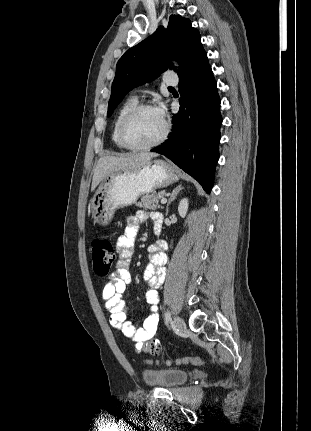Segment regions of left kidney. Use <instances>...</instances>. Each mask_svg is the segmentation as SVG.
<instances>
[{
	"mask_svg": "<svg viewBox=\"0 0 311 431\" xmlns=\"http://www.w3.org/2000/svg\"><path fill=\"white\" fill-rule=\"evenodd\" d=\"M188 200L187 198H183V200H180V204L178 206V212H179V216L181 217H185L187 212H188Z\"/></svg>",
	"mask_w": 311,
	"mask_h": 431,
	"instance_id": "5707ae66",
	"label": "left kidney"
}]
</instances>
